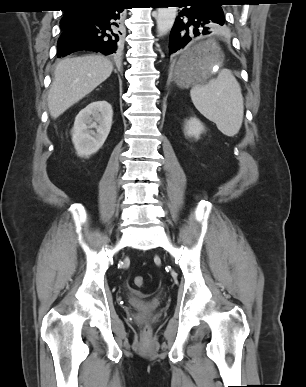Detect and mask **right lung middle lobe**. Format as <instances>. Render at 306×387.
Listing matches in <instances>:
<instances>
[{
	"label": "right lung middle lobe",
	"mask_w": 306,
	"mask_h": 387,
	"mask_svg": "<svg viewBox=\"0 0 306 387\" xmlns=\"http://www.w3.org/2000/svg\"><path fill=\"white\" fill-rule=\"evenodd\" d=\"M77 18L73 16V14L70 15V17H63V19L60 22L61 28L69 27L74 25L77 22Z\"/></svg>",
	"instance_id": "dd1d6c3e"
}]
</instances>
